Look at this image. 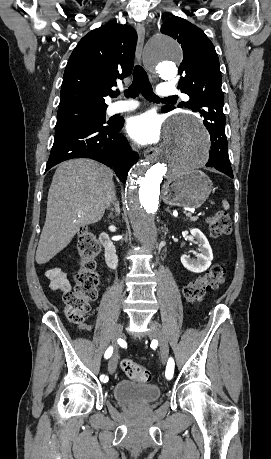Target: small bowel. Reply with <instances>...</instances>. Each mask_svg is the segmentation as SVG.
<instances>
[{"label": "small bowel", "instance_id": "small-bowel-1", "mask_svg": "<svg viewBox=\"0 0 271 459\" xmlns=\"http://www.w3.org/2000/svg\"><path fill=\"white\" fill-rule=\"evenodd\" d=\"M46 277L50 282V286L54 290H59L62 292H67L71 289L72 282L67 276L66 272L61 268H51L46 271ZM81 330L89 331L91 326L86 324L80 325Z\"/></svg>", "mask_w": 271, "mask_h": 459}]
</instances>
